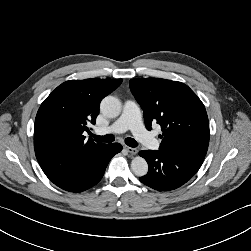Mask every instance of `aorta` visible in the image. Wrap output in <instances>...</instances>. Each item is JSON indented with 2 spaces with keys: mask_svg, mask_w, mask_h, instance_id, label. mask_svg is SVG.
<instances>
[{
  "mask_svg": "<svg viewBox=\"0 0 251 251\" xmlns=\"http://www.w3.org/2000/svg\"><path fill=\"white\" fill-rule=\"evenodd\" d=\"M100 111L109 118H115L121 112V102L114 96H107L101 101ZM131 169L136 176H144L148 172V164L143 157L136 156L131 162Z\"/></svg>",
  "mask_w": 251,
  "mask_h": 251,
  "instance_id": "1",
  "label": "aorta"
}]
</instances>
